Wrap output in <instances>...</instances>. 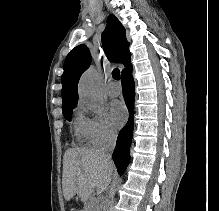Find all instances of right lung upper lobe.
Returning a JSON list of instances; mask_svg holds the SVG:
<instances>
[{
    "mask_svg": "<svg viewBox=\"0 0 219 211\" xmlns=\"http://www.w3.org/2000/svg\"><path fill=\"white\" fill-rule=\"evenodd\" d=\"M101 39L105 54L110 61L122 63L125 67L131 64L125 29L114 15L109 16ZM90 62L91 55L84 44L73 48L67 55L61 77L63 105L78 102V82Z\"/></svg>",
    "mask_w": 219,
    "mask_h": 211,
    "instance_id": "right-lung-upper-lobe-1",
    "label": "right lung upper lobe"
}]
</instances>
